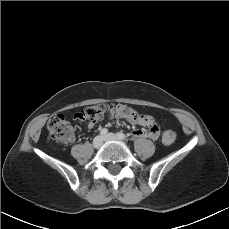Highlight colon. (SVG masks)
<instances>
[{"label": "colon", "mask_w": 229, "mask_h": 229, "mask_svg": "<svg viewBox=\"0 0 229 229\" xmlns=\"http://www.w3.org/2000/svg\"><path fill=\"white\" fill-rule=\"evenodd\" d=\"M116 113L120 116L128 118H136L137 111L128 104H98L88 106L77 113V118L80 120L97 122L105 114ZM47 129L50 138L56 143H64L72 139L74 134L73 125L65 118L63 114L53 115L47 124ZM176 133L172 130H167L162 135V141L166 145H171L176 141Z\"/></svg>", "instance_id": "1"}]
</instances>
